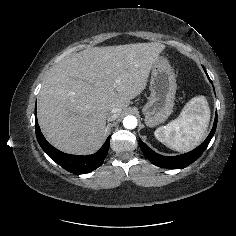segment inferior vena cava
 I'll return each instance as SVG.
<instances>
[{
	"label": "inferior vena cava",
	"instance_id": "1",
	"mask_svg": "<svg viewBox=\"0 0 236 236\" xmlns=\"http://www.w3.org/2000/svg\"><path fill=\"white\" fill-rule=\"evenodd\" d=\"M118 109L113 108L107 115V120L112 121L117 118Z\"/></svg>",
	"mask_w": 236,
	"mask_h": 236
}]
</instances>
